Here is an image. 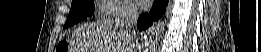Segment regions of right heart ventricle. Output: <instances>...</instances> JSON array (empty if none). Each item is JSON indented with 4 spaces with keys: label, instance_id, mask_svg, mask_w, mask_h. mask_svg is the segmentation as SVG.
<instances>
[{
    "label": "right heart ventricle",
    "instance_id": "1",
    "mask_svg": "<svg viewBox=\"0 0 261 52\" xmlns=\"http://www.w3.org/2000/svg\"><path fill=\"white\" fill-rule=\"evenodd\" d=\"M107 9V7H102V10H106Z\"/></svg>",
    "mask_w": 261,
    "mask_h": 52
}]
</instances>
